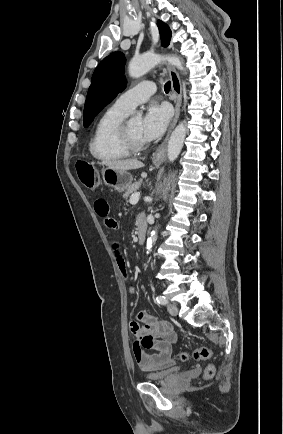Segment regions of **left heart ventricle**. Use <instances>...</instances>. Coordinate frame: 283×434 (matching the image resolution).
<instances>
[{
    "label": "left heart ventricle",
    "instance_id": "b2bd125f",
    "mask_svg": "<svg viewBox=\"0 0 283 434\" xmlns=\"http://www.w3.org/2000/svg\"><path fill=\"white\" fill-rule=\"evenodd\" d=\"M142 120L140 118H133L129 121V130L132 136L140 141H144L141 136Z\"/></svg>",
    "mask_w": 283,
    "mask_h": 434
}]
</instances>
